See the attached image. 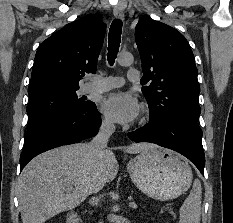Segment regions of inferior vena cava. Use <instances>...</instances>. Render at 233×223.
<instances>
[{
  "label": "inferior vena cava",
  "mask_w": 233,
  "mask_h": 223,
  "mask_svg": "<svg viewBox=\"0 0 233 223\" xmlns=\"http://www.w3.org/2000/svg\"><path fill=\"white\" fill-rule=\"evenodd\" d=\"M114 131V121H111V119H103L102 125L101 127H99L97 135H95V137L91 139L89 143V149L93 157H95V159H98V163H96V165H104L103 159L107 153L105 147L107 145V141H109L110 135H112ZM102 187V183H96L93 189L94 191H100ZM97 223H104V221L103 219H100V221H97Z\"/></svg>",
  "instance_id": "1"
}]
</instances>
